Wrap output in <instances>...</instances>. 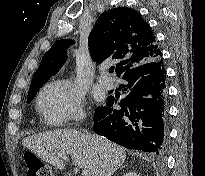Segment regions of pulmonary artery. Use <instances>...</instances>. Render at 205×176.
<instances>
[{
    "label": "pulmonary artery",
    "instance_id": "1",
    "mask_svg": "<svg viewBox=\"0 0 205 176\" xmlns=\"http://www.w3.org/2000/svg\"><path fill=\"white\" fill-rule=\"evenodd\" d=\"M99 83L102 87H104L106 89H111L114 87V81L110 77H100Z\"/></svg>",
    "mask_w": 205,
    "mask_h": 176
}]
</instances>
